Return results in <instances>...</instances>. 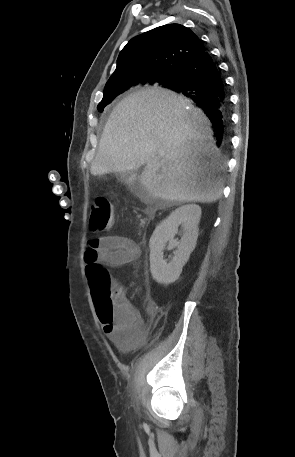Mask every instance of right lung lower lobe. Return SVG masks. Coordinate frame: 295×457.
Masks as SVG:
<instances>
[{
	"label": "right lung lower lobe",
	"mask_w": 295,
	"mask_h": 457,
	"mask_svg": "<svg viewBox=\"0 0 295 457\" xmlns=\"http://www.w3.org/2000/svg\"><path fill=\"white\" fill-rule=\"evenodd\" d=\"M165 88L182 93L202 108L215 128L216 145H225L229 99L220 70L206 50L187 62Z\"/></svg>",
	"instance_id": "obj_1"
}]
</instances>
